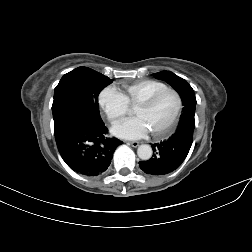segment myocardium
<instances>
[{
	"mask_svg": "<svg viewBox=\"0 0 252 252\" xmlns=\"http://www.w3.org/2000/svg\"><path fill=\"white\" fill-rule=\"evenodd\" d=\"M166 92H171L176 96V98H177V107H176V110H175L171 120L169 121V123L164 128H162L160 130H157V131H152L151 132V134L154 137L164 136V135L168 134L173 129V127L175 126V124H176V122H177V120L179 118V115L181 113L182 107H183V100H182V97H181L180 93L174 88L167 87V88L161 89L159 91H156L155 93L151 94L150 96H148L147 98H145L144 100H142L141 102H139L137 104V106H139V107H148L151 104H153L154 101L158 97H160L162 94H164Z\"/></svg>",
	"mask_w": 252,
	"mask_h": 252,
	"instance_id": "1",
	"label": "myocardium"
}]
</instances>
